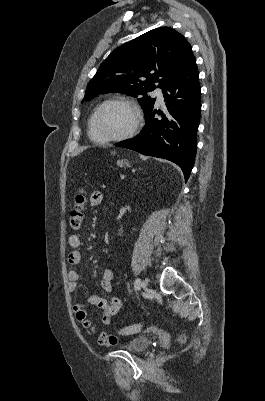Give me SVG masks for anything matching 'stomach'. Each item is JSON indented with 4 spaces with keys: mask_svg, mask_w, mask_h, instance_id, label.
I'll use <instances>...</instances> for the list:
<instances>
[{
    "mask_svg": "<svg viewBox=\"0 0 265 401\" xmlns=\"http://www.w3.org/2000/svg\"><path fill=\"white\" fill-rule=\"evenodd\" d=\"M117 164L118 166H130V162H128V160H126V158H121V160H117Z\"/></svg>",
    "mask_w": 265,
    "mask_h": 401,
    "instance_id": "stomach-1",
    "label": "stomach"
}]
</instances>
